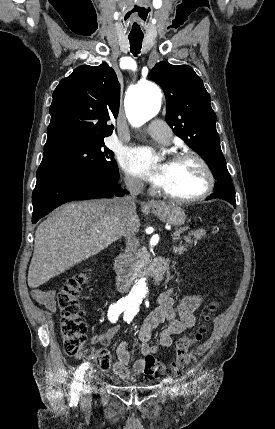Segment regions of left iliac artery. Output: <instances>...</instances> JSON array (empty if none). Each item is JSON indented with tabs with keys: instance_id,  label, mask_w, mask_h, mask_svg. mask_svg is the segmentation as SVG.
<instances>
[{
	"instance_id": "44dca946",
	"label": "left iliac artery",
	"mask_w": 275,
	"mask_h": 429,
	"mask_svg": "<svg viewBox=\"0 0 275 429\" xmlns=\"http://www.w3.org/2000/svg\"><path fill=\"white\" fill-rule=\"evenodd\" d=\"M137 308L136 307H131V306H127L125 308V312H124V320L127 323H130L133 319V317L137 314Z\"/></svg>"
}]
</instances>
